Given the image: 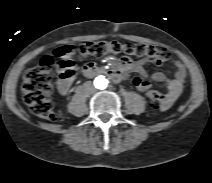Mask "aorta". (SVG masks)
Returning <instances> with one entry per match:
<instances>
[{
    "label": "aorta",
    "instance_id": "762f6f07",
    "mask_svg": "<svg viewBox=\"0 0 212 183\" xmlns=\"http://www.w3.org/2000/svg\"><path fill=\"white\" fill-rule=\"evenodd\" d=\"M108 79L105 75H98L95 79H94V85L97 89L99 90H105L108 87Z\"/></svg>",
    "mask_w": 212,
    "mask_h": 183
}]
</instances>
